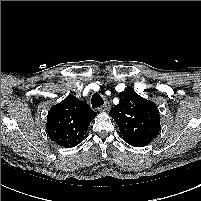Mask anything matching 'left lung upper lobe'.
I'll use <instances>...</instances> for the list:
<instances>
[{"label": "left lung upper lobe", "instance_id": "obj_1", "mask_svg": "<svg viewBox=\"0 0 201 201\" xmlns=\"http://www.w3.org/2000/svg\"><path fill=\"white\" fill-rule=\"evenodd\" d=\"M119 98L120 103L112 107L109 115L118 125L123 140L136 147L148 145L160 131L157 106L133 89L124 90Z\"/></svg>", "mask_w": 201, "mask_h": 201}]
</instances>
